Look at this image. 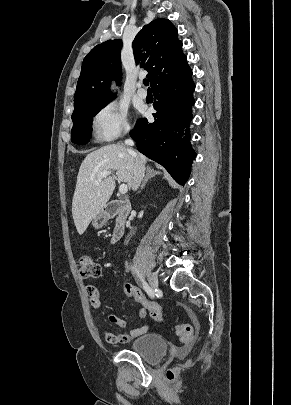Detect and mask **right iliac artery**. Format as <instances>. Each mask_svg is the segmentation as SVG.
Masks as SVG:
<instances>
[{
  "mask_svg": "<svg viewBox=\"0 0 291 405\" xmlns=\"http://www.w3.org/2000/svg\"><path fill=\"white\" fill-rule=\"evenodd\" d=\"M132 271L135 272L137 274V276L140 278L142 285H143V289L145 290V292L151 297L154 298V291L152 290V288L147 284V282L144 281V279L142 278L141 274L139 273V271L137 269H135L134 267H131Z\"/></svg>",
  "mask_w": 291,
  "mask_h": 405,
  "instance_id": "right-iliac-artery-1",
  "label": "right iliac artery"
}]
</instances>
